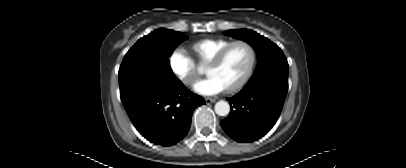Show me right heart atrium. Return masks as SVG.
<instances>
[{"label": "right heart atrium", "mask_w": 406, "mask_h": 168, "mask_svg": "<svg viewBox=\"0 0 406 168\" xmlns=\"http://www.w3.org/2000/svg\"><path fill=\"white\" fill-rule=\"evenodd\" d=\"M169 65L176 77L185 85H192L197 77L193 59L182 48H176L169 56Z\"/></svg>", "instance_id": "right-heart-atrium-1"}]
</instances>
